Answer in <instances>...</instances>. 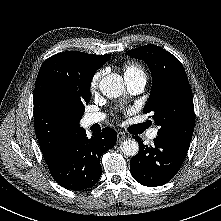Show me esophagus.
<instances>
[{"label": "esophagus", "instance_id": "34e87169", "mask_svg": "<svg viewBox=\"0 0 221 221\" xmlns=\"http://www.w3.org/2000/svg\"><path fill=\"white\" fill-rule=\"evenodd\" d=\"M126 138V135L123 132L117 133V141L120 142Z\"/></svg>", "mask_w": 221, "mask_h": 221}]
</instances>
